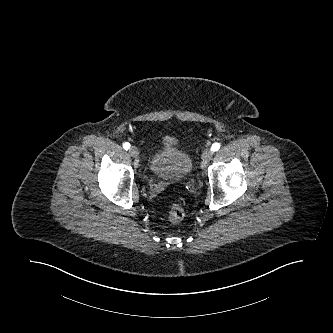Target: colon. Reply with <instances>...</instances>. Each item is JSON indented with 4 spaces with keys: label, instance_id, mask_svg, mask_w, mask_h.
Here are the masks:
<instances>
[{
    "label": "colon",
    "instance_id": "colon-1",
    "mask_svg": "<svg viewBox=\"0 0 333 333\" xmlns=\"http://www.w3.org/2000/svg\"><path fill=\"white\" fill-rule=\"evenodd\" d=\"M184 210L178 204H173L169 207L167 215L171 222H178L184 217Z\"/></svg>",
    "mask_w": 333,
    "mask_h": 333
}]
</instances>
